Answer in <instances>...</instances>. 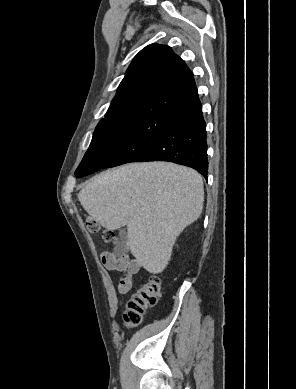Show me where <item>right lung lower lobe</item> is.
<instances>
[{"label":"right lung lower lobe","instance_id":"98d812e1","mask_svg":"<svg viewBox=\"0 0 296 389\" xmlns=\"http://www.w3.org/2000/svg\"><path fill=\"white\" fill-rule=\"evenodd\" d=\"M206 123L202 106L178 117L154 142L139 161H169L197 170L207 179L208 159ZM96 170L78 167L75 175L86 176Z\"/></svg>","mask_w":296,"mask_h":389}]
</instances>
